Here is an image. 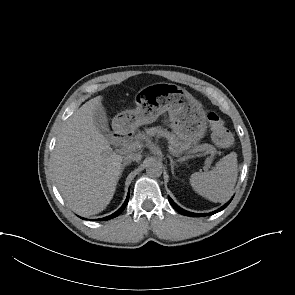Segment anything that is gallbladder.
Returning <instances> with one entry per match:
<instances>
[{"mask_svg":"<svg viewBox=\"0 0 295 295\" xmlns=\"http://www.w3.org/2000/svg\"><path fill=\"white\" fill-rule=\"evenodd\" d=\"M94 125L98 131L104 135L108 142H112L113 135L109 130L108 118L104 107L100 104L97 109L94 111Z\"/></svg>","mask_w":295,"mask_h":295,"instance_id":"obj_1","label":"gallbladder"}]
</instances>
